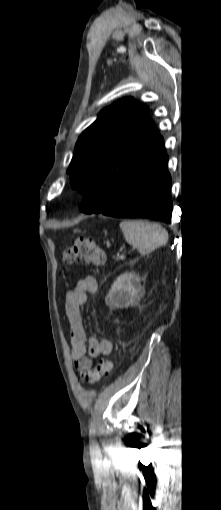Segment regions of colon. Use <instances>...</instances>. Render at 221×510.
<instances>
[{
    "label": "colon",
    "mask_w": 221,
    "mask_h": 510,
    "mask_svg": "<svg viewBox=\"0 0 221 510\" xmlns=\"http://www.w3.org/2000/svg\"><path fill=\"white\" fill-rule=\"evenodd\" d=\"M62 260L69 265L74 262L83 264H92L103 266L107 262L106 252L98 247L92 240L88 238H79L73 245L67 246L62 254ZM113 366L110 358H104L99 361L97 366L82 375L85 384H93L102 377L109 374Z\"/></svg>",
    "instance_id": "colon-1"
}]
</instances>
